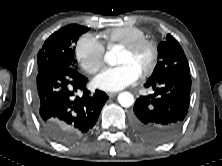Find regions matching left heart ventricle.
<instances>
[{"label": "left heart ventricle", "mask_w": 222, "mask_h": 166, "mask_svg": "<svg viewBox=\"0 0 222 166\" xmlns=\"http://www.w3.org/2000/svg\"><path fill=\"white\" fill-rule=\"evenodd\" d=\"M150 61V52L147 49H143L135 54H131L125 50L122 51L119 63H131L140 72L148 65Z\"/></svg>", "instance_id": "b2bd125f"}]
</instances>
